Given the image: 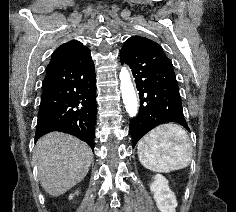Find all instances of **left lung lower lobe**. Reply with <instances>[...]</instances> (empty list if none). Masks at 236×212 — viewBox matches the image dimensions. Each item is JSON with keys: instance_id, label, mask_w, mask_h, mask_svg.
Instances as JSON below:
<instances>
[{"instance_id": "0a47b994", "label": "left lung lower lobe", "mask_w": 236, "mask_h": 212, "mask_svg": "<svg viewBox=\"0 0 236 212\" xmlns=\"http://www.w3.org/2000/svg\"><path fill=\"white\" fill-rule=\"evenodd\" d=\"M120 59L132 69L139 91V112L130 120L129 127L133 147L147 132L163 123L176 122L190 131L173 64L162 47L146 37L132 36L124 42Z\"/></svg>"}]
</instances>
